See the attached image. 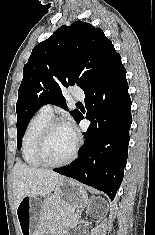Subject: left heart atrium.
Listing matches in <instances>:
<instances>
[{
	"mask_svg": "<svg viewBox=\"0 0 155 235\" xmlns=\"http://www.w3.org/2000/svg\"><path fill=\"white\" fill-rule=\"evenodd\" d=\"M67 127L69 128V130L71 131V133L74 135V136H76V132H75V129L73 128V126L72 125H67Z\"/></svg>",
	"mask_w": 155,
	"mask_h": 235,
	"instance_id": "obj_1",
	"label": "left heart atrium"
}]
</instances>
